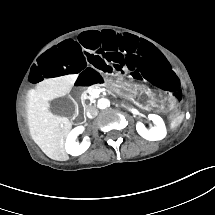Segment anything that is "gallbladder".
Instances as JSON below:
<instances>
[{
    "mask_svg": "<svg viewBox=\"0 0 215 215\" xmlns=\"http://www.w3.org/2000/svg\"><path fill=\"white\" fill-rule=\"evenodd\" d=\"M48 110L56 116L72 118L76 112V104L67 96H55L48 101Z\"/></svg>",
    "mask_w": 215,
    "mask_h": 215,
    "instance_id": "gallbladder-1",
    "label": "gallbladder"
}]
</instances>
